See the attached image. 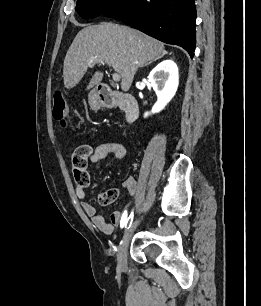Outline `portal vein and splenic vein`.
I'll return each instance as SVG.
<instances>
[{
    "mask_svg": "<svg viewBox=\"0 0 261 306\" xmlns=\"http://www.w3.org/2000/svg\"><path fill=\"white\" fill-rule=\"evenodd\" d=\"M96 63H99V64H102V65H105V62L102 60V59H98L97 57H92L90 59V61L88 62V66L89 67H92L94 64ZM120 75L118 73H113L112 74V79L114 81H119L120 80Z\"/></svg>",
    "mask_w": 261,
    "mask_h": 306,
    "instance_id": "1",
    "label": "portal vein and splenic vein"
}]
</instances>
